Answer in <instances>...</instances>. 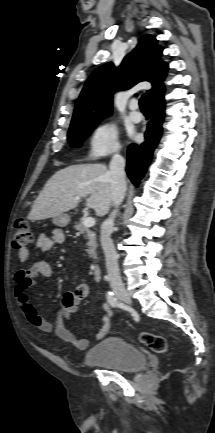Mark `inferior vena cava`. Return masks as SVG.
I'll return each mask as SVG.
<instances>
[{"label": "inferior vena cava", "instance_id": "1", "mask_svg": "<svg viewBox=\"0 0 215 433\" xmlns=\"http://www.w3.org/2000/svg\"><path fill=\"white\" fill-rule=\"evenodd\" d=\"M124 167V158L118 152H116L110 161L108 172L109 182L112 189L113 203L116 209L113 210L109 218L103 222L100 235L101 246L105 254L108 278L114 291H124V285L122 283L118 268V256L111 239L114 218L118 212L117 208L122 203L126 193Z\"/></svg>", "mask_w": 215, "mask_h": 433}]
</instances>
